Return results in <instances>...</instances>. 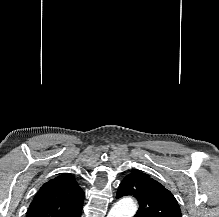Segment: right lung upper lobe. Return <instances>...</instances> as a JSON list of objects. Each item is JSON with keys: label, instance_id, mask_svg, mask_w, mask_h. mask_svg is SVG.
Listing matches in <instances>:
<instances>
[{"label": "right lung upper lobe", "instance_id": "right-lung-upper-lobe-1", "mask_svg": "<svg viewBox=\"0 0 219 217\" xmlns=\"http://www.w3.org/2000/svg\"><path fill=\"white\" fill-rule=\"evenodd\" d=\"M84 192L69 173L44 183L26 217H81Z\"/></svg>", "mask_w": 219, "mask_h": 217}]
</instances>
